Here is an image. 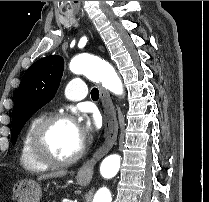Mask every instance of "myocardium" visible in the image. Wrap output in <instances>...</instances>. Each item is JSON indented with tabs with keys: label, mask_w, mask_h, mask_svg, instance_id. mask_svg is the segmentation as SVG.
I'll return each instance as SVG.
<instances>
[{
	"label": "myocardium",
	"mask_w": 209,
	"mask_h": 202,
	"mask_svg": "<svg viewBox=\"0 0 209 202\" xmlns=\"http://www.w3.org/2000/svg\"><path fill=\"white\" fill-rule=\"evenodd\" d=\"M62 121L74 122V118L66 113H58L43 118L35 127L30 140V153L33 158L44 167L60 168L74 164L85 151V145L81 142L78 151L66 159L51 157L44 146V137L48 130L56 123Z\"/></svg>",
	"instance_id": "obj_1"
}]
</instances>
